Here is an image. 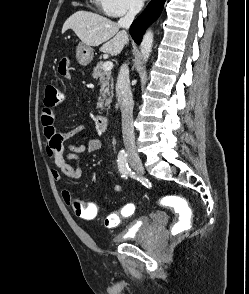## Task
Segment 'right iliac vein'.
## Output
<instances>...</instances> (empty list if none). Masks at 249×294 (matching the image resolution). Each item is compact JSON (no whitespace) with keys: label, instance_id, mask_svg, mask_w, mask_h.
I'll return each mask as SVG.
<instances>
[{"label":"right iliac vein","instance_id":"63e3f726","mask_svg":"<svg viewBox=\"0 0 249 294\" xmlns=\"http://www.w3.org/2000/svg\"><path fill=\"white\" fill-rule=\"evenodd\" d=\"M128 159L132 168L139 174L144 173V167L138 153L134 149H128Z\"/></svg>","mask_w":249,"mask_h":294}]
</instances>
